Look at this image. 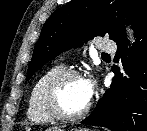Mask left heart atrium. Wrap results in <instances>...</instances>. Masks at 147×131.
I'll return each mask as SVG.
<instances>
[{
	"label": "left heart atrium",
	"mask_w": 147,
	"mask_h": 131,
	"mask_svg": "<svg viewBox=\"0 0 147 131\" xmlns=\"http://www.w3.org/2000/svg\"><path fill=\"white\" fill-rule=\"evenodd\" d=\"M95 80L93 78L82 79L83 92L86 101L89 103L95 91Z\"/></svg>",
	"instance_id": "1"
}]
</instances>
